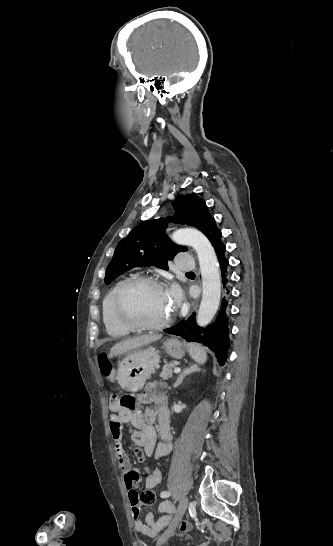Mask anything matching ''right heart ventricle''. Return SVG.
<instances>
[{
    "instance_id": "right-heart-ventricle-1",
    "label": "right heart ventricle",
    "mask_w": 333,
    "mask_h": 546,
    "mask_svg": "<svg viewBox=\"0 0 333 546\" xmlns=\"http://www.w3.org/2000/svg\"><path fill=\"white\" fill-rule=\"evenodd\" d=\"M129 279H131V277L118 280L107 292L102 302V320L107 333L112 337H124L132 331V329L119 321L114 309L116 294L121 286Z\"/></svg>"
}]
</instances>
